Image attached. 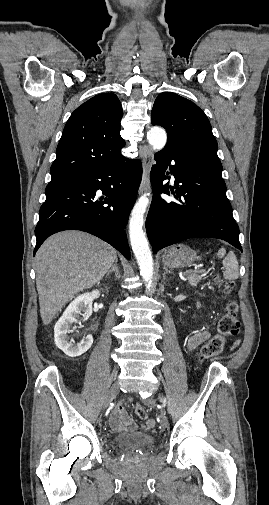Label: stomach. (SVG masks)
Masks as SVG:
<instances>
[{"label": "stomach", "instance_id": "1", "mask_svg": "<svg viewBox=\"0 0 269 505\" xmlns=\"http://www.w3.org/2000/svg\"><path fill=\"white\" fill-rule=\"evenodd\" d=\"M197 258L196 252L184 244L172 246L162 255L164 266L169 268L185 267L193 263Z\"/></svg>", "mask_w": 269, "mask_h": 505}]
</instances>
